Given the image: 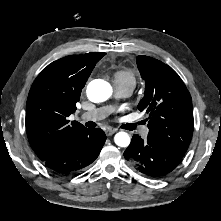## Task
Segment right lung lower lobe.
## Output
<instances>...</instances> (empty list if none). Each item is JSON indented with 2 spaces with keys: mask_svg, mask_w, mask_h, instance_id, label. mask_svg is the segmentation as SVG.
Here are the masks:
<instances>
[{
  "mask_svg": "<svg viewBox=\"0 0 221 221\" xmlns=\"http://www.w3.org/2000/svg\"><path fill=\"white\" fill-rule=\"evenodd\" d=\"M105 141L106 136L102 129H86L43 163L55 174L78 173L98 157Z\"/></svg>",
  "mask_w": 221,
  "mask_h": 221,
  "instance_id": "1",
  "label": "right lung lower lobe"
}]
</instances>
